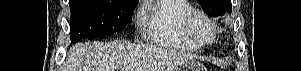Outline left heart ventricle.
Returning a JSON list of instances; mask_svg holds the SVG:
<instances>
[{
	"label": "left heart ventricle",
	"instance_id": "obj_1",
	"mask_svg": "<svg viewBox=\"0 0 301 71\" xmlns=\"http://www.w3.org/2000/svg\"><path fill=\"white\" fill-rule=\"evenodd\" d=\"M194 30L196 36L201 41H209L212 37V29L210 25L200 18L196 19L194 23Z\"/></svg>",
	"mask_w": 301,
	"mask_h": 71
}]
</instances>
